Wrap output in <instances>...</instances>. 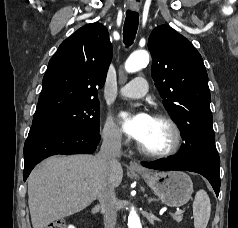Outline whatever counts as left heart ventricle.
<instances>
[{
  "label": "left heart ventricle",
  "mask_w": 238,
  "mask_h": 228,
  "mask_svg": "<svg viewBox=\"0 0 238 228\" xmlns=\"http://www.w3.org/2000/svg\"><path fill=\"white\" fill-rule=\"evenodd\" d=\"M172 140L173 135L169 125L162 120L152 118L146 134L139 143L147 150L163 151L170 147Z\"/></svg>",
  "instance_id": "left-heart-ventricle-1"
}]
</instances>
